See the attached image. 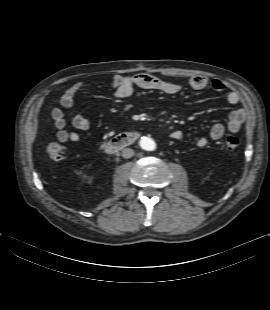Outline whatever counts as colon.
I'll use <instances>...</instances> for the list:
<instances>
[{"instance_id": "obj_1", "label": "colon", "mask_w": 270, "mask_h": 310, "mask_svg": "<svg viewBox=\"0 0 270 310\" xmlns=\"http://www.w3.org/2000/svg\"><path fill=\"white\" fill-rule=\"evenodd\" d=\"M239 145L240 140L236 136H229L225 141V146L230 151L236 150ZM46 154L51 160L58 161L63 158V155L65 154V148L58 143L52 142L48 144L46 148Z\"/></svg>"}]
</instances>
